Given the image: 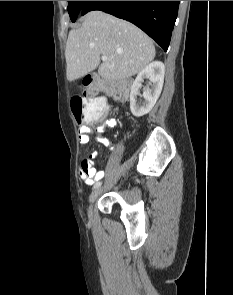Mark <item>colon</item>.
<instances>
[{
    "label": "colon",
    "instance_id": "obj_1",
    "mask_svg": "<svg viewBox=\"0 0 233 295\" xmlns=\"http://www.w3.org/2000/svg\"><path fill=\"white\" fill-rule=\"evenodd\" d=\"M130 81L103 80L86 77L83 81L84 96L71 99V111L78 123L88 122L102 117L106 106L101 94L125 95L130 91Z\"/></svg>",
    "mask_w": 233,
    "mask_h": 295
}]
</instances>
